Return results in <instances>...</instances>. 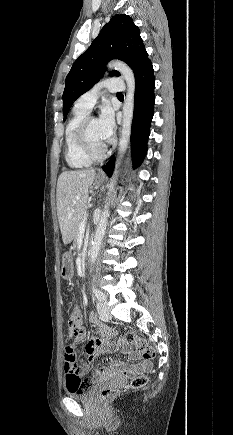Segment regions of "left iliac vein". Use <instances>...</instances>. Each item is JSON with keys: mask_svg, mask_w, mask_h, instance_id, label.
I'll return each instance as SVG.
<instances>
[{"mask_svg": "<svg viewBox=\"0 0 233 435\" xmlns=\"http://www.w3.org/2000/svg\"><path fill=\"white\" fill-rule=\"evenodd\" d=\"M97 311L102 319L108 320L111 318L107 302L99 301L97 303Z\"/></svg>", "mask_w": 233, "mask_h": 435, "instance_id": "4c4485c4", "label": "left iliac vein"}]
</instances>
